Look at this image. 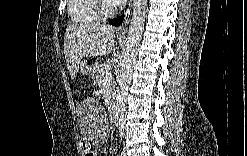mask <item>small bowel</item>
Instances as JSON below:
<instances>
[{"instance_id":"1","label":"small bowel","mask_w":247,"mask_h":156,"mask_svg":"<svg viewBox=\"0 0 247 156\" xmlns=\"http://www.w3.org/2000/svg\"><path fill=\"white\" fill-rule=\"evenodd\" d=\"M85 153H86V155L87 156H94V155H96V152L95 151H85Z\"/></svg>"}]
</instances>
